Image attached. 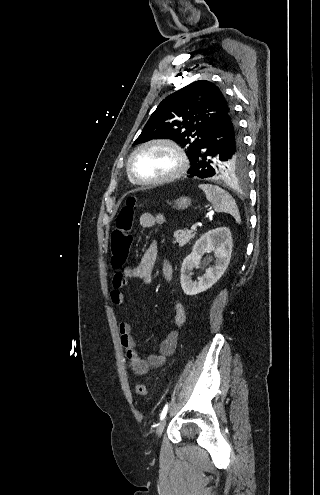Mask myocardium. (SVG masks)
<instances>
[{
  "mask_svg": "<svg viewBox=\"0 0 320 495\" xmlns=\"http://www.w3.org/2000/svg\"><path fill=\"white\" fill-rule=\"evenodd\" d=\"M152 146H166L170 148L176 155L177 157V168L170 174L165 175L160 178L156 179H141L135 175L132 169V162L134 157L136 156L137 153L140 151L152 147ZM188 167V160L187 156L185 154V151L183 148L175 141L168 139V138H155L148 140L139 146H137L129 155L127 159V164H126V171L129 176V178L136 184L138 185H144V186H155V185H162L166 183H171L177 179H179L187 170Z\"/></svg>",
  "mask_w": 320,
  "mask_h": 495,
  "instance_id": "f54148a6",
  "label": "myocardium"
}]
</instances>
